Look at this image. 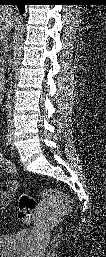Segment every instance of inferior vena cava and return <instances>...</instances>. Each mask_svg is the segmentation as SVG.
Instances as JSON below:
<instances>
[{
    "label": "inferior vena cava",
    "mask_w": 106,
    "mask_h": 257,
    "mask_svg": "<svg viewBox=\"0 0 106 257\" xmlns=\"http://www.w3.org/2000/svg\"><path fill=\"white\" fill-rule=\"evenodd\" d=\"M11 99V90H8L7 92V101H6V109H7V123L8 127H12V103L10 101Z\"/></svg>",
    "instance_id": "obj_1"
}]
</instances>
